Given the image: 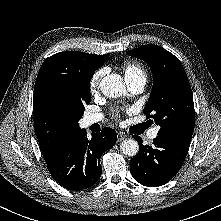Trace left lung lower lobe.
<instances>
[{
	"mask_svg": "<svg viewBox=\"0 0 221 221\" xmlns=\"http://www.w3.org/2000/svg\"><path fill=\"white\" fill-rule=\"evenodd\" d=\"M139 144V152L130 161L133 178L148 187L169 182L181 168L189 145L157 136L152 146H144L139 136H133Z\"/></svg>",
	"mask_w": 221,
	"mask_h": 221,
	"instance_id": "0a47b994",
	"label": "left lung lower lobe"
}]
</instances>
